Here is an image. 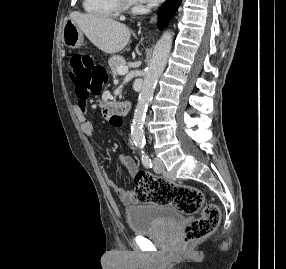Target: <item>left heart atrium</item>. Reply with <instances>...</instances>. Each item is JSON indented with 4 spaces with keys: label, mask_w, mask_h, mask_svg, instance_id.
<instances>
[{
    "label": "left heart atrium",
    "mask_w": 286,
    "mask_h": 269,
    "mask_svg": "<svg viewBox=\"0 0 286 269\" xmlns=\"http://www.w3.org/2000/svg\"><path fill=\"white\" fill-rule=\"evenodd\" d=\"M137 1L144 3V4H147V5H156L163 0H137Z\"/></svg>",
    "instance_id": "obj_1"
}]
</instances>
